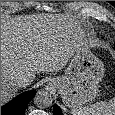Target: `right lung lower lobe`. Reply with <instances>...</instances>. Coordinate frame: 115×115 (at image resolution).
I'll return each mask as SVG.
<instances>
[{
  "label": "right lung lower lobe",
  "mask_w": 115,
  "mask_h": 115,
  "mask_svg": "<svg viewBox=\"0 0 115 115\" xmlns=\"http://www.w3.org/2000/svg\"><path fill=\"white\" fill-rule=\"evenodd\" d=\"M36 91H28L18 95L9 103L1 107V115H24L29 101L33 98Z\"/></svg>",
  "instance_id": "98d812e1"
}]
</instances>
